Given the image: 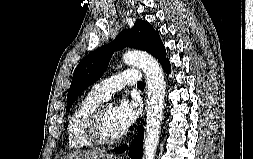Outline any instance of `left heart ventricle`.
<instances>
[{
    "label": "left heart ventricle",
    "instance_id": "b2bd125f",
    "mask_svg": "<svg viewBox=\"0 0 253 159\" xmlns=\"http://www.w3.org/2000/svg\"><path fill=\"white\" fill-rule=\"evenodd\" d=\"M102 130L104 135L109 138H115L121 135L114 117V108L107 106L102 115Z\"/></svg>",
    "mask_w": 253,
    "mask_h": 159
}]
</instances>
